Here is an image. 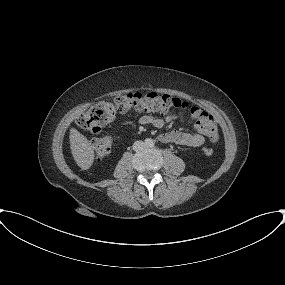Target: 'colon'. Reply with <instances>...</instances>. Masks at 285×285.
Wrapping results in <instances>:
<instances>
[{"instance_id": "obj_1", "label": "colon", "mask_w": 285, "mask_h": 285, "mask_svg": "<svg viewBox=\"0 0 285 285\" xmlns=\"http://www.w3.org/2000/svg\"><path fill=\"white\" fill-rule=\"evenodd\" d=\"M157 112L167 113L179 111L188 114L194 122L196 128L209 137L213 142L218 140L219 132L216 120L209 113L197 107H191L181 99L169 95H159L155 92H128L116 96L112 103H101L87 112L83 113L77 120V125L81 130L90 133H98L102 127L111 123L117 112ZM113 138L106 135L94 144L97 158L106 157L112 148ZM203 153L207 156L213 154L211 147H205Z\"/></svg>"}]
</instances>
